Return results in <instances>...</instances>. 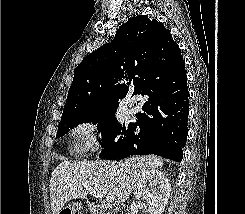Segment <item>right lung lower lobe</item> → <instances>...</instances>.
<instances>
[{
    "label": "right lung lower lobe",
    "mask_w": 245,
    "mask_h": 214,
    "mask_svg": "<svg viewBox=\"0 0 245 214\" xmlns=\"http://www.w3.org/2000/svg\"><path fill=\"white\" fill-rule=\"evenodd\" d=\"M148 100L130 123L122 144L110 148L102 159L117 160L133 155L154 154L180 162L188 135L189 91L187 77L172 83L160 77L151 83Z\"/></svg>",
    "instance_id": "1"
}]
</instances>
